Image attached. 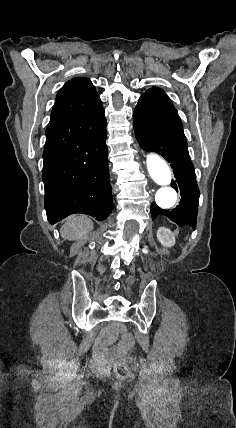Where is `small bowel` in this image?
<instances>
[{"instance_id": "c3829d8e", "label": "small bowel", "mask_w": 236, "mask_h": 428, "mask_svg": "<svg viewBox=\"0 0 236 428\" xmlns=\"http://www.w3.org/2000/svg\"><path fill=\"white\" fill-rule=\"evenodd\" d=\"M124 327L119 321L107 325L95 339L93 354L103 365H108L111 360L121 353L124 337ZM120 342L117 343V341Z\"/></svg>"}]
</instances>
